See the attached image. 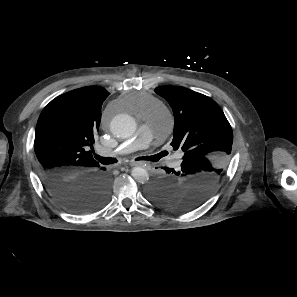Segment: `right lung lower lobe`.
Instances as JSON below:
<instances>
[{"mask_svg":"<svg viewBox=\"0 0 297 297\" xmlns=\"http://www.w3.org/2000/svg\"><path fill=\"white\" fill-rule=\"evenodd\" d=\"M48 194L64 209L72 213L92 212L105 204L110 178L105 168L69 175L61 171H41Z\"/></svg>","mask_w":297,"mask_h":297,"instance_id":"right-lung-lower-lobe-1","label":"right lung lower lobe"}]
</instances>
